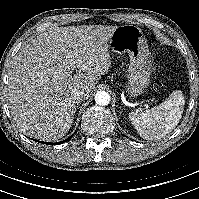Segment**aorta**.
Listing matches in <instances>:
<instances>
[{
  "label": "aorta",
  "instance_id": "aorta-1",
  "mask_svg": "<svg viewBox=\"0 0 199 199\" xmlns=\"http://www.w3.org/2000/svg\"><path fill=\"white\" fill-rule=\"evenodd\" d=\"M110 95L105 91H98L95 94V102L99 106H106L110 103Z\"/></svg>",
  "mask_w": 199,
  "mask_h": 199
}]
</instances>
